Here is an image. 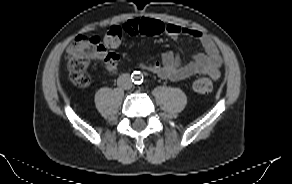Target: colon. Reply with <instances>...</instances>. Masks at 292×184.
<instances>
[{
	"label": "colon",
	"instance_id": "5ec220e1",
	"mask_svg": "<svg viewBox=\"0 0 292 184\" xmlns=\"http://www.w3.org/2000/svg\"><path fill=\"white\" fill-rule=\"evenodd\" d=\"M141 32L144 36H156L163 32V26L157 20L146 19L142 24ZM122 36V28L112 26L102 39L94 35H79L74 38L67 49V69L71 81L79 87L90 85L88 62L100 52L117 48ZM194 89L198 93L208 94L213 90V83L208 78H200L194 82Z\"/></svg>",
	"mask_w": 292,
	"mask_h": 184
}]
</instances>
